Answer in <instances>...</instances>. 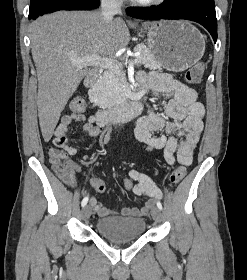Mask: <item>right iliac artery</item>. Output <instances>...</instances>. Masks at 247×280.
<instances>
[{
	"label": "right iliac artery",
	"instance_id": "obj_1",
	"mask_svg": "<svg viewBox=\"0 0 247 280\" xmlns=\"http://www.w3.org/2000/svg\"><path fill=\"white\" fill-rule=\"evenodd\" d=\"M88 196L84 197V199L81 202L82 207H84L88 203Z\"/></svg>",
	"mask_w": 247,
	"mask_h": 280
}]
</instances>
